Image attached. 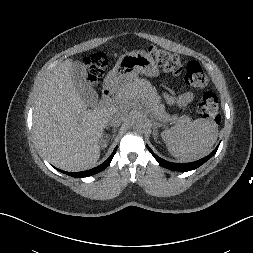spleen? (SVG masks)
<instances>
[{
  "label": "spleen",
  "instance_id": "3e777b00",
  "mask_svg": "<svg viewBox=\"0 0 253 253\" xmlns=\"http://www.w3.org/2000/svg\"><path fill=\"white\" fill-rule=\"evenodd\" d=\"M172 156L190 162L205 156L218 138V126L209 119H196L161 133Z\"/></svg>",
  "mask_w": 253,
  "mask_h": 253
}]
</instances>
